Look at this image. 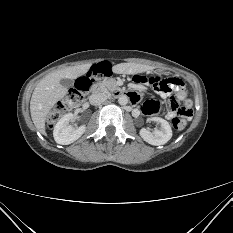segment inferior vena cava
Returning <instances> with one entry per match:
<instances>
[{"mask_svg":"<svg viewBox=\"0 0 233 233\" xmlns=\"http://www.w3.org/2000/svg\"><path fill=\"white\" fill-rule=\"evenodd\" d=\"M108 96L105 93H97V94H92L89 97V102L96 106L100 105L101 103L105 102L107 100Z\"/></svg>","mask_w":233,"mask_h":233,"instance_id":"inferior-vena-cava-1","label":"inferior vena cava"}]
</instances>
